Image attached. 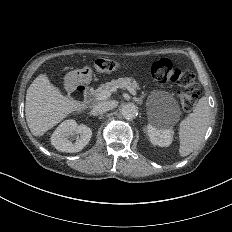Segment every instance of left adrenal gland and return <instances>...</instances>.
Masks as SVG:
<instances>
[{
    "mask_svg": "<svg viewBox=\"0 0 232 232\" xmlns=\"http://www.w3.org/2000/svg\"><path fill=\"white\" fill-rule=\"evenodd\" d=\"M144 97H145V96H141V97L137 100L139 104H142V102H143L142 99H143Z\"/></svg>",
    "mask_w": 232,
    "mask_h": 232,
    "instance_id": "left-adrenal-gland-1",
    "label": "left adrenal gland"
}]
</instances>
